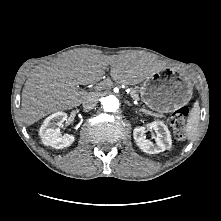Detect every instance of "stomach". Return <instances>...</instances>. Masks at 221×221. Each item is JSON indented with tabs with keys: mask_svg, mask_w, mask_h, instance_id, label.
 <instances>
[{
	"mask_svg": "<svg viewBox=\"0 0 221 221\" xmlns=\"http://www.w3.org/2000/svg\"><path fill=\"white\" fill-rule=\"evenodd\" d=\"M139 93L147 107L158 113H169L189 102L193 85L183 73L158 71L144 79Z\"/></svg>",
	"mask_w": 221,
	"mask_h": 221,
	"instance_id": "0dacf381",
	"label": "stomach"
}]
</instances>
